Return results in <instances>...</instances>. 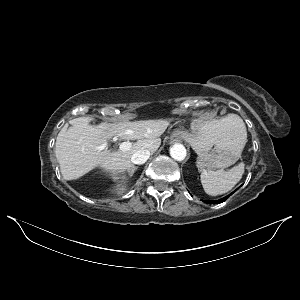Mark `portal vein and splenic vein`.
<instances>
[{
    "label": "portal vein and splenic vein",
    "instance_id": "portal-vein-and-splenic-vein-1",
    "mask_svg": "<svg viewBox=\"0 0 300 300\" xmlns=\"http://www.w3.org/2000/svg\"><path fill=\"white\" fill-rule=\"evenodd\" d=\"M132 144L130 142H122L120 145H119V149L122 150V151H127L131 148Z\"/></svg>",
    "mask_w": 300,
    "mask_h": 300
}]
</instances>
